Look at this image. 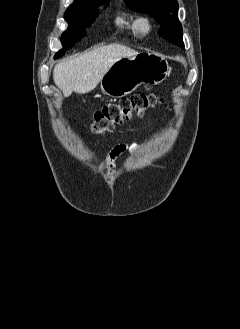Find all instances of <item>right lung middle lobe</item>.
I'll return each mask as SVG.
<instances>
[{
	"instance_id": "dd1d6c3e",
	"label": "right lung middle lobe",
	"mask_w": 240,
	"mask_h": 329,
	"mask_svg": "<svg viewBox=\"0 0 240 329\" xmlns=\"http://www.w3.org/2000/svg\"><path fill=\"white\" fill-rule=\"evenodd\" d=\"M109 1L97 2L95 5L83 8H68L65 12V20L68 22V29L62 34L61 42L64 46L62 50L56 53L54 58H58L70 48L76 40L81 39L85 35V28L98 16L97 7Z\"/></svg>"
}]
</instances>
